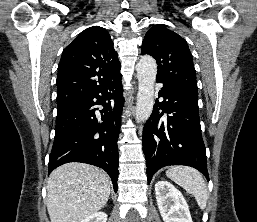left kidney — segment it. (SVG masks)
<instances>
[{
	"label": "left kidney",
	"mask_w": 257,
	"mask_h": 222,
	"mask_svg": "<svg viewBox=\"0 0 257 222\" xmlns=\"http://www.w3.org/2000/svg\"><path fill=\"white\" fill-rule=\"evenodd\" d=\"M158 208L164 222H193L182 193L167 181L155 184Z\"/></svg>",
	"instance_id": "left-kidney-1"
}]
</instances>
